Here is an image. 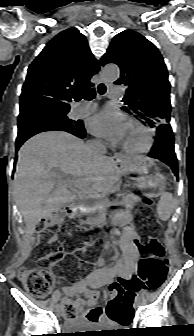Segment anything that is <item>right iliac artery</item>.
Wrapping results in <instances>:
<instances>
[{
    "label": "right iliac artery",
    "mask_w": 194,
    "mask_h": 336,
    "mask_svg": "<svg viewBox=\"0 0 194 336\" xmlns=\"http://www.w3.org/2000/svg\"><path fill=\"white\" fill-rule=\"evenodd\" d=\"M62 303H63V301H62ZM58 307H62V305H59Z\"/></svg>",
    "instance_id": "82829eb1"
}]
</instances>
